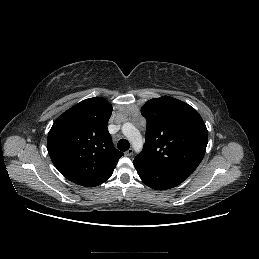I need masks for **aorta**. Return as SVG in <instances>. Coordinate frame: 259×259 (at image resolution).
Wrapping results in <instances>:
<instances>
[{
	"label": "aorta",
	"mask_w": 259,
	"mask_h": 259,
	"mask_svg": "<svg viewBox=\"0 0 259 259\" xmlns=\"http://www.w3.org/2000/svg\"><path fill=\"white\" fill-rule=\"evenodd\" d=\"M122 133L127 137L136 152H140L143 147V139L139 130L132 123H124Z\"/></svg>",
	"instance_id": "1"
}]
</instances>
